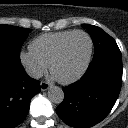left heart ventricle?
Masks as SVG:
<instances>
[{"mask_svg":"<svg viewBox=\"0 0 128 128\" xmlns=\"http://www.w3.org/2000/svg\"><path fill=\"white\" fill-rule=\"evenodd\" d=\"M89 51V41L86 36H73L65 46L63 55L54 67V76L67 79L75 75L85 63Z\"/></svg>","mask_w":128,"mask_h":128,"instance_id":"1","label":"left heart ventricle"}]
</instances>
